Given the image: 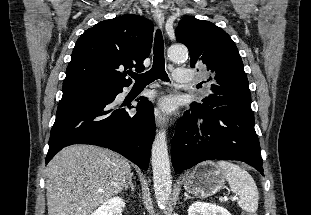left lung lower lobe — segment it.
<instances>
[{
    "label": "left lung lower lobe",
    "instance_id": "0a47b994",
    "mask_svg": "<svg viewBox=\"0 0 311 215\" xmlns=\"http://www.w3.org/2000/svg\"><path fill=\"white\" fill-rule=\"evenodd\" d=\"M175 171L186 170L205 160H239L263 174V160L250 108L191 104L178 121L172 139Z\"/></svg>",
    "mask_w": 311,
    "mask_h": 215
}]
</instances>
